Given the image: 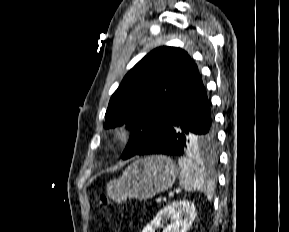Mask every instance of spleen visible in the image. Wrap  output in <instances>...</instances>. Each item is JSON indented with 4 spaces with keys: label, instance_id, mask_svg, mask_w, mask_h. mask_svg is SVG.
<instances>
[{
    "label": "spleen",
    "instance_id": "obj_1",
    "mask_svg": "<svg viewBox=\"0 0 289 232\" xmlns=\"http://www.w3.org/2000/svg\"><path fill=\"white\" fill-rule=\"evenodd\" d=\"M180 172V185L187 191L203 192L208 200H211L214 193V186L207 178V175L198 162L190 158H180L178 160Z\"/></svg>",
    "mask_w": 289,
    "mask_h": 232
}]
</instances>
